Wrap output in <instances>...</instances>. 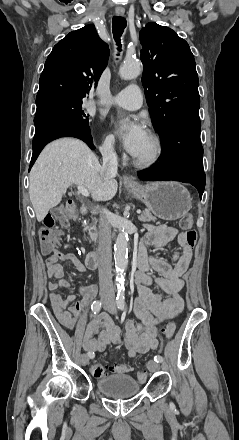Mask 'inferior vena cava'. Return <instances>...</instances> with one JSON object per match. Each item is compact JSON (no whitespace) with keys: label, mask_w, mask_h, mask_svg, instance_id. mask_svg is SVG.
Segmentation results:
<instances>
[{"label":"inferior vena cava","mask_w":239,"mask_h":440,"mask_svg":"<svg viewBox=\"0 0 239 440\" xmlns=\"http://www.w3.org/2000/svg\"><path fill=\"white\" fill-rule=\"evenodd\" d=\"M114 140H107L101 152L105 180H112L117 174L118 156L114 152ZM109 212L102 208L99 216L98 230V270L99 286L101 293L102 307H115L114 288L112 282V250H111V226L108 220Z\"/></svg>","instance_id":"obj_1"}]
</instances>
